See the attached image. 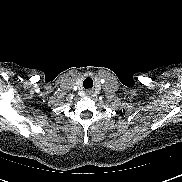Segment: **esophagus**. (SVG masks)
Masks as SVG:
<instances>
[{
    "instance_id": "34e87169",
    "label": "esophagus",
    "mask_w": 182,
    "mask_h": 182,
    "mask_svg": "<svg viewBox=\"0 0 182 182\" xmlns=\"http://www.w3.org/2000/svg\"><path fill=\"white\" fill-rule=\"evenodd\" d=\"M87 94H91V91H87Z\"/></svg>"
}]
</instances>
